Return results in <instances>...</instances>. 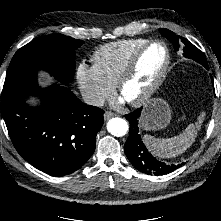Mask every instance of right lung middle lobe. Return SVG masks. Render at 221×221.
Segmentation results:
<instances>
[{"instance_id":"dd1d6c3e","label":"right lung middle lobe","mask_w":221,"mask_h":221,"mask_svg":"<svg viewBox=\"0 0 221 221\" xmlns=\"http://www.w3.org/2000/svg\"><path fill=\"white\" fill-rule=\"evenodd\" d=\"M83 43L59 33L32 40L14 55L2 93L14 89H35L39 70L50 73L64 84L71 82L75 73V50Z\"/></svg>"}]
</instances>
